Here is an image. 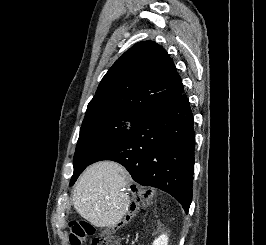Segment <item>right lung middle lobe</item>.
<instances>
[{
  "mask_svg": "<svg viewBox=\"0 0 266 245\" xmlns=\"http://www.w3.org/2000/svg\"><path fill=\"white\" fill-rule=\"evenodd\" d=\"M142 117L123 111H103L86 116L80 129L70 185L99 154L119 141Z\"/></svg>",
  "mask_w": 266,
  "mask_h": 245,
  "instance_id": "right-lung-middle-lobe-1",
  "label": "right lung middle lobe"
}]
</instances>
